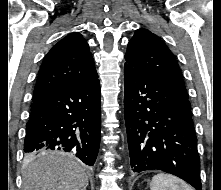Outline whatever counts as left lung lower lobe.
<instances>
[{
  "label": "left lung lower lobe",
  "instance_id": "left-lung-lower-lobe-1",
  "mask_svg": "<svg viewBox=\"0 0 221 190\" xmlns=\"http://www.w3.org/2000/svg\"><path fill=\"white\" fill-rule=\"evenodd\" d=\"M124 76L132 170H162L201 190L200 159L189 99L148 71L127 63Z\"/></svg>",
  "mask_w": 221,
  "mask_h": 190
}]
</instances>
